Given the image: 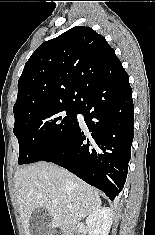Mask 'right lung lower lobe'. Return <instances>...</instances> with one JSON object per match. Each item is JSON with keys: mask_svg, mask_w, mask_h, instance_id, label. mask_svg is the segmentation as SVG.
I'll return each mask as SVG.
<instances>
[{"mask_svg": "<svg viewBox=\"0 0 155 235\" xmlns=\"http://www.w3.org/2000/svg\"><path fill=\"white\" fill-rule=\"evenodd\" d=\"M126 71L87 90L77 103L87 130L77 125L69 139L42 161L74 173L114 200L123 189L133 141L134 105Z\"/></svg>", "mask_w": 155, "mask_h": 235, "instance_id": "1", "label": "right lung lower lobe"}]
</instances>
